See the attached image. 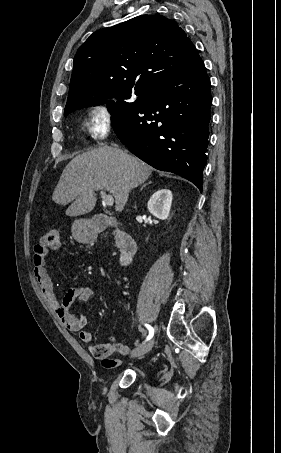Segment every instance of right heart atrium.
I'll return each mask as SVG.
<instances>
[{"label": "right heart atrium", "mask_w": 281, "mask_h": 453, "mask_svg": "<svg viewBox=\"0 0 281 453\" xmlns=\"http://www.w3.org/2000/svg\"><path fill=\"white\" fill-rule=\"evenodd\" d=\"M114 116L112 111L103 104H94L87 110L86 128L89 137L92 140L100 141L105 139L114 127ZM90 156L98 159L101 153L98 151L92 152ZM118 168L117 165L114 166Z\"/></svg>", "instance_id": "obj_1"}]
</instances>
